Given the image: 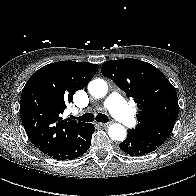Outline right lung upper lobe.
<instances>
[{
  "mask_svg": "<svg viewBox=\"0 0 196 196\" xmlns=\"http://www.w3.org/2000/svg\"><path fill=\"white\" fill-rule=\"evenodd\" d=\"M99 65L59 61L36 71L21 94L20 115L31 142L44 154L65 144L86 123L62 120L74 93L84 88Z\"/></svg>",
  "mask_w": 196,
  "mask_h": 196,
  "instance_id": "1",
  "label": "right lung upper lobe"
}]
</instances>
